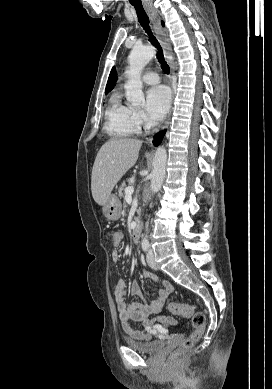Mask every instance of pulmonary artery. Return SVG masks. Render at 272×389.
Instances as JSON below:
<instances>
[{
    "mask_svg": "<svg viewBox=\"0 0 272 389\" xmlns=\"http://www.w3.org/2000/svg\"><path fill=\"white\" fill-rule=\"evenodd\" d=\"M143 81L147 84H157L160 78L155 72H147L143 75Z\"/></svg>",
    "mask_w": 272,
    "mask_h": 389,
    "instance_id": "obj_1",
    "label": "pulmonary artery"
}]
</instances>
